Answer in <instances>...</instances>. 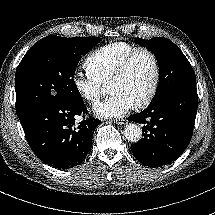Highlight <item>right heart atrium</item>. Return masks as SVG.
<instances>
[{
  "label": "right heart atrium",
  "instance_id": "right-heart-atrium-1",
  "mask_svg": "<svg viewBox=\"0 0 215 215\" xmlns=\"http://www.w3.org/2000/svg\"><path fill=\"white\" fill-rule=\"evenodd\" d=\"M73 86L78 95L88 103H95L101 96V82L94 76L75 71L72 76Z\"/></svg>",
  "mask_w": 215,
  "mask_h": 215
}]
</instances>
